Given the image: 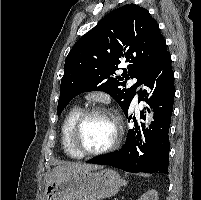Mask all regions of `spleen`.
Returning <instances> with one entry per match:
<instances>
[{"instance_id": "spleen-1", "label": "spleen", "mask_w": 201, "mask_h": 200, "mask_svg": "<svg viewBox=\"0 0 201 200\" xmlns=\"http://www.w3.org/2000/svg\"><path fill=\"white\" fill-rule=\"evenodd\" d=\"M126 184H127V182H126V181H124V182H123V185H126Z\"/></svg>"}]
</instances>
